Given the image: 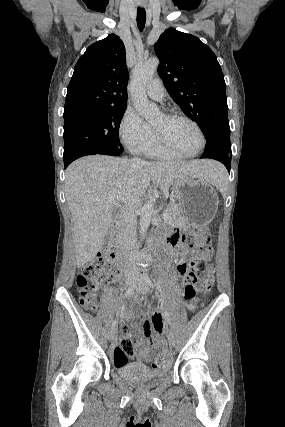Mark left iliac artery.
<instances>
[{
  "mask_svg": "<svg viewBox=\"0 0 285 427\" xmlns=\"http://www.w3.org/2000/svg\"><path fill=\"white\" fill-rule=\"evenodd\" d=\"M146 283L149 287L154 288L153 282L148 277L146 278ZM164 316L166 321L170 324V317L167 311L164 312Z\"/></svg>",
  "mask_w": 285,
  "mask_h": 427,
  "instance_id": "obj_1",
  "label": "left iliac artery"
}]
</instances>
